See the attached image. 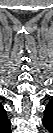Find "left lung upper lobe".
I'll return each instance as SVG.
<instances>
[{
  "mask_svg": "<svg viewBox=\"0 0 53 133\" xmlns=\"http://www.w3.org/2000/svg\"><path fill=\"white\" fill-rule=\"evenodd\" d=\"M44 112H45V116H44L43 124L45 127H47L53 121V104H52V102H50L48 104V106L46 107Z\"/></svg>",
  "mask_w": 53,
  "mask_h": 133,
  "instance_id": "left-lung-upper-lobe-1",
  "label": "left lung upper lobe"
}]
</instances>
